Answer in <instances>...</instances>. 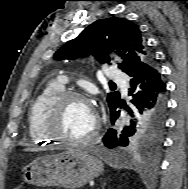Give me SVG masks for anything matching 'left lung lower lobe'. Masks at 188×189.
<instances>
[{"mask_svg": "<svg viewBox=\"0 0 188 189\" xmlns=\"http://www.w3.org/2000/svg\"><path fill=\"white\" fill-rule=\"evenodd\" d=\"M130 77L129 95L133 97L131 105L122 101L114 106L111 112V123L115 124L120 115L119 108H124L131 116L127 123L117 128H110L102 141L109 149L127 147L130 137L135 130L141 127H158L164 124L167 109L166 84L154 59L145 62L127 73Z\"/></svg>", "mask_w": 188, "mask_h": 189, "instance_id": "1", "label": "left lung lower lobe"}]
</instances>
